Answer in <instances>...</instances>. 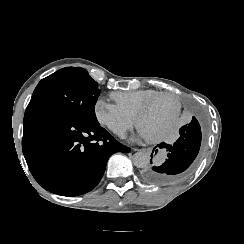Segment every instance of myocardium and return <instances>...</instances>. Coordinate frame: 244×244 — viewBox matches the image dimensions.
<instances>
[{
  "mask_svg": "<svg viewBox=\"0 0 244 244\" xmlns=\"http://www.w3.org/2000/svg\"><path fill=\"white\" fill-rule=\"evenodd\" d=\"M123 92L120 93V95ZM165 98H170L173 99L176 102V109L175 111L171 114V116L169 118H167L164 122H165V126L167 127L168 125L172 124L177 116V114L180 111V107H181V103H180V99L177 95L173 94V93H162L160 95H156L154 98H150L147 102H145L142 105V108L140 110L139 116H138V123L141 124L145 115L148 113V109L150 107H152L155 104V101H158L159 99H165ZM160 140V139H159Z\"/></svg>",
  "mask_w": 244,
  "mask_h": 244,
  "instance_id": "obj_1",
  "label": "myocardium"
}]
</instances>
